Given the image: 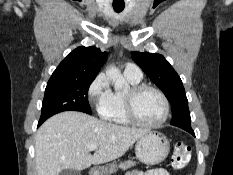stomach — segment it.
I'll return each instance as SVG.
<instances>
[{"label":"stomach","mask_w":233,"mask_h":175,"mask_svg":"<svg viewBox=\"0 0 233 175\" xmlns=\"http://www.w3.org/2000/svg\"><path fill=\"white\" fill-rule=\"evenodd\" d=\"M170 143L166 136L157 131H149L137 140L135 153L137 158L148 165H156L163 162L169 154ZM115 166L110 167V172ZM91 175H103V169L93 170Z\"/></svg>","instance_id":"1"}]
</instances>
